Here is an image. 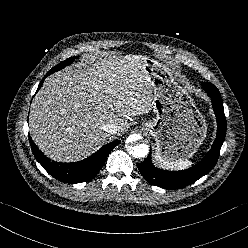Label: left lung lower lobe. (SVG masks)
Returning <instances> with one entry per match:
<instances>
[{"instance_id":"0a47b994","label":"left lung lower lobe","mask_w":248,"mask_h":248,"mask_svg":"<svg viewBox=\"0 0 248 248\" xmlns=\"http://www.w3.org/2000/svg\"><path fill=\"white\" fill-rule=\"evenodd\" d=\"M201 85L212 100L217 118V136L211 150L198 164L182 171H165L156 168L152 164L150 152L144 162L137 164L139 171L150 184L166 189L184 188L207 174L216 164L226 135L223 102L218 89L213 84L204 82Z\"/></svg>"}]
</instances>
